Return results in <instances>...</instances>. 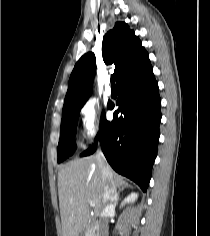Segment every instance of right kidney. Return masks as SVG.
Masks as SVG:
<instances>
[{
    "mask_svg": "<svg viewBox=\"0 0 210 236\" xmlns=\"http://www.w3.org/2000/svg\"><path fill=\"white\" fill-rule=\"evenodd\" d=\"M138 198V194L137 193H131L130 195H128L121 203V207H123L125 204L127 203H132L134 202L136 199Z\"/></svg>",
    "mask_w": 210,
    "mask_h": 236,
    "instance_id": "ca27d5eb",
    "label": "right kidney"
}]
</instances>
